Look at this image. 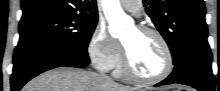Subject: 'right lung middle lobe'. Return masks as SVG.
I'll use <instances>...</instances> for the list:
<instances>
[{
    "instance_id": "1",
    "label": "right lung middle lobe",
    "mask_w": 220,
    "mask_h": 91,
    "mask_svg": "<svg viewBox=\"0 0 220 91\" xmlns=\"http://www.w3.org/2000/svg\"><path fill=\"white\" fill-rule=\"evenodd\" d=\"M98 15L66 13L39 18L19 26L20 40L45 39L87 51Z\"/></svg>"
}]
</instances>
